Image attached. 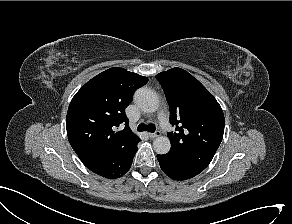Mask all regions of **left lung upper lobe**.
<instances>
[{"mask_svg":"<svg viewBox=\"0 0 292 224\" xmlns=\"http://www.w3.org/2000/svg\"><path fill=\"white\" fill-rule=\"evenodd\" d=\"M170 109L168 133L171 149L166 154L202 172L215 155L224 133L225 119L221 106L191 74L172 68L156 75Z\"/></svg>","mask_w":292,"mask_h":224,"instance_id":"5c2ea615","label":"left lung upper lobe"}]
</instances>
